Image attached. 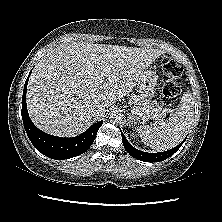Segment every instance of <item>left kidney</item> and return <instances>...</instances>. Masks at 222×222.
Listing matches in <instances>:
<instances>
[{
	"label": "left kidney",
	"instance_id": "left-kidney-1",
	"mask_svg": "<svg viewBox=\"0 0 222 222\" xmlns=\"http://www.w3.org/2000/svg\"><path fill=\"white\" fill-rule=\"evenodd\" d=\"M130 136H131L132 139H135V138H136V134H135L134 132H131V133H130Z\"/></svg>",
	"mask_w": 222,
	"mask_h": 222
}]
</instances>
